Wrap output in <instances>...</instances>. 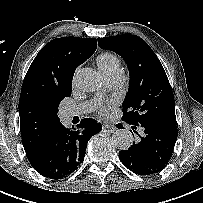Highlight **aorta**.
<instances>
[{"instance_id":"1","label":"aorta","mask_w":203,"mask_h":203,"mask_svg":"<svg viewBox=\"0 0 203 203\" xmlns=\"http://www.w3.org/2000/svg\"><path fill=\"white\" fill-rule=\"evenodd\" d=\"M75 85L84 92H93L101 86V79L96 71L91 68L80 70L75 76ZM113 143L120 150H127L133 144V136L129 130L119 129L112 136Z\"/></svg>"}]
</instances>
